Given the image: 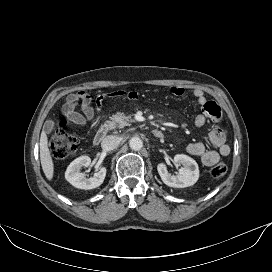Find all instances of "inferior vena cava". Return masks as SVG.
Returning <instances> with one entry per match:
<instances>
[{
    "label": "inferior vena cava",
    "instance_id": "inferior-vena-cava-1",
    "mask_svg": "<svg viewBox=\"0 0 272 272\" xmlns=\"http://www.w3.org/2000/svg\"><path fill=\"white\" fill-rule=\"evenodd\" d=\"M120 141V137L115 135H109L103 139L101 146L104 150L110 151L117 148L120 144Z\"/></svg>",
    "mask_w": 272,
    "mask_h": 272
}]
</instances>
